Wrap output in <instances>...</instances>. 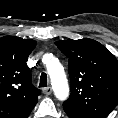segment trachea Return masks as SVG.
<instances>
[{
  "label": "trachea",
  "instance_id": "trachea-1",
  "mask_svg": "<svg viewBox=\"0 0 118 118\" xmlns=\"http://www.w3.org/2000/svg\"><path fill=\"white\" fill-rule=\"evenodd\" d=\"M46 86H47V75H46V73H42L40 76L39 87H46Z\"/></svg>",
  "mask_w": 118,
  "mask_h": 118
}]
</instances>
